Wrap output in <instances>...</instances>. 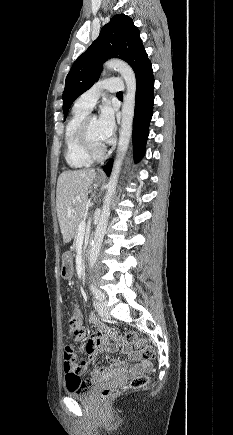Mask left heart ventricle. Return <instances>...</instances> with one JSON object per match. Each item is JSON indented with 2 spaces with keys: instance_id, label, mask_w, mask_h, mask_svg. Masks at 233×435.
<instances>
[{
  "instance_id": "obj_1",
  "label": "left heart ventricle",
  "mask_w": 233,
  "mask_h": 435,
  "mask_svg": "<svg viewBox=\"0 0 233 435\" xmlns=\"http://www.w3.org/2000/svg\"><path fill=\"white\" fill-rule=\"evenodd\" d=\"M89 137L92 146L96 150H101L106 146V142L102 139L99 123L96 118H91L89 123Z\"/></svg>"
}]
</instances>
